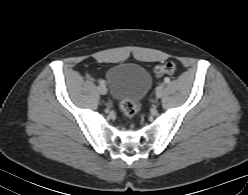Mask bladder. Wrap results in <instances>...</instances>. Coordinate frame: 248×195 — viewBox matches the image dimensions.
Segmentation results:
<instances>
[{
	"instance_id": "31cf9c89",
	"label": "bladder",
	"mask_w": 248,
	"mask_h": 195,
	"mask_svg": "<svg viewBox=\"0 0 248 195\" xmlns=\"http://www.w3.org/2000/svg\"><path fill=\"white\" fill-rule=\"evenodd\" d=\"M111 94L116 100L130 99L139 102L151 86V77L138 64L118 63L106 74Z\"/></svg>"
}]
</instances>
